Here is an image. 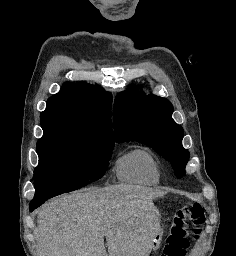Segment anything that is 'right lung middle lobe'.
<instances>
[{
  "instance_id": "dd1d6c3e",
  "label": "right lung middle lobe",
  "mask_w": 236,
  "mask_h": 256,
  "mask_svg": "<svg viewBox=\"0 0 236 256\" xmlns=\"http://www.w3.org/2000/svg\"><path fill=\"white\" fill-rule=\"evenodd\" d=\"M43 131L37 143L33 202L79 189L104 175L114 140L63 128Z\"/></svg>"
}]
</instances>
